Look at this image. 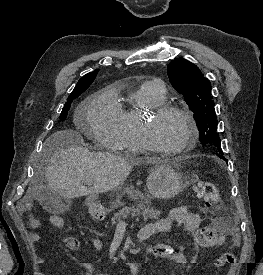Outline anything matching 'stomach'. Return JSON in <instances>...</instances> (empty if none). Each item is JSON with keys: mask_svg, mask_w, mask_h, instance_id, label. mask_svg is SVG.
Here are the masks:
<instances>
[{"mask_svg": "<svg viewBox=\"0 0 263 275\" xmlns=\"http://www.w3.org/2000/svg\"><path fill=\"white\" fill-rule=\"evenodd\" d=\"M147 187L150 194L155 198H173L183 189L182 175L169 165H157L147 177ZM89 209L102 213L100 206L94 202L89 204Z\"/></svg>", "mask_w": 263, "mask_h": 275, "instance_id": "1", "label": "stomach"}]
</instances>
